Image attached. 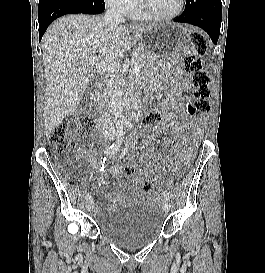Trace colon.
<instances>
[{
    "label": "colon",
    "mask_w": 265,
    "mask_h": 273,
    "mask_svg": "<svg viewBox=\"0 0 265 273\" xmlns=\"http://www.w3.org/2000/svg\"><path fill=\"white\" fill-rule=\"evenodd\" d=\"M206 51V42L204 37L198 32H191L187 39V49L184 51V66L188 73L193 75V85L195 87L193 104L187 106V111L192 115H206L211 111V90L210 76L203 70L201 54ZM159 117L154 112H149L143 118L144 126H152L158 121ZM94 130V122L90 117H83L80 120L71 123H61L55 127L49 134V142L55 148L59 156H67L70 151L68 136L72 131H82L90 133ZM74 158L72 164H66L74 168ZM128 176L136 173L134 166L129 165L125 168ZM143 190L146 193L155 195L157 193L156 184L153 180L147 179L143 184Z\"/></svg>",
    "instance_id": "1"
}]
</instances>
